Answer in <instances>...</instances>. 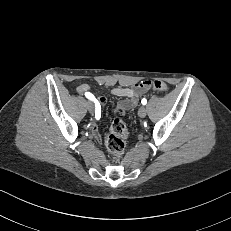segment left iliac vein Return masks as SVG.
I'll return each mask as SVG.
<instances>
[{
	"label": "left iliac vein",
	"instance_id": "1",
	"mask_svg": "<svg viewBox=\"0 0 231 231\" xmlns=\"http://www.w3.org/2000/svg\"><path fill=\"white\" fill-rule=\"evenodd\" d=\"M147 114V110L144 108V107H141L139 110H138V116L140 118H144Z\"/></svg>",
	"mask_w": 231,
	"mask_h": 231
}]
</instances>
